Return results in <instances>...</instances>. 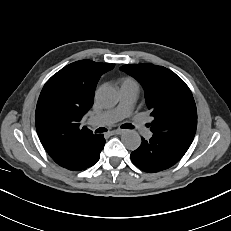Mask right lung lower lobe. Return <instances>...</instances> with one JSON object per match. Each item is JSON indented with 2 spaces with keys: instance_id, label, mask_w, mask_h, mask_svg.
Instances as JSON below:
<instances>
[{
  "instance_id": "right-lung-lower-lobe-1",
  "label": "right lung lower lobe",
  "mask_w": 231,
  "mask_h": 231,
  "mask_svg": "<svg viewBox=\"0 0 231 231\" xmlns=\"http://www.w3.org/2000/svg\"><path fill=\"white\" fill-rule=\"evenodd\" d=\"M104 144L105 139L102 134H90L64 143L49 155L61 167L72 171H81L99 160Z\"/></svg>"
}]
</instances>
